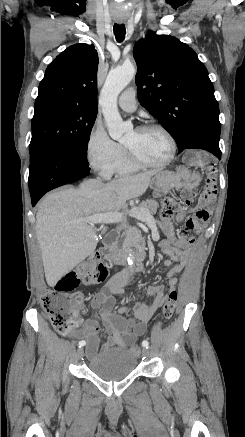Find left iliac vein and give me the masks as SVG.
<instances>
[{"label":"left iliac vein","instance_id":"4c4485c4","mask_svg":"<svg viewBox=\"0 0 245 437\" xmlns=\"http://www.w3.org/2000/svg\"><path fill=\"white\" fill-rule=\"evenodd\" d=\"M142 354L144 357L148 358L149 357V350L147 348H143Z\"/></svg>","mask_w":245,"mask_h":437}]
</instances>
